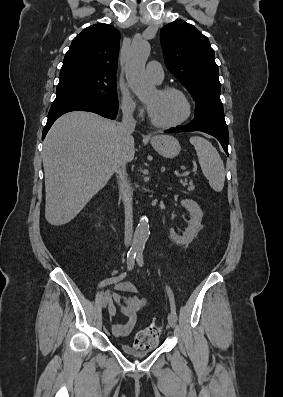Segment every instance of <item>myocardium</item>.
Returning <instances> with one entry per match:
<instances>
[{
	"label": "myocardium",
	"instance_id": "f54148a6",
	"mask_svg": "<svg viewBox=\"0 0 283 397\" xmlns=\"http://www.w3.org/2000/svg\"><path fill=\"white\" fill-rule=\"evenodd\" d=\"M158 91L160 93H162V94H166V93H177V94H179L185 101L186 112H185L184 116L181 117L180 119H178L176 121H173V122H167V123H163V122H159V121L155 120L152 117V115L150 114V112H149L150 122L154 126L159 127V128H164V129L174 128V127H178V126L182 125L183 123H185L191 117L192 111H193V105H192L190 97L188 96V94L184 90H182V89H180L178 87H175V86H168L167 85V86L160 87L158 89Z\"/></svg>",
	"mask_w": 283,
	"mask_h": 397
}]
</instances>
